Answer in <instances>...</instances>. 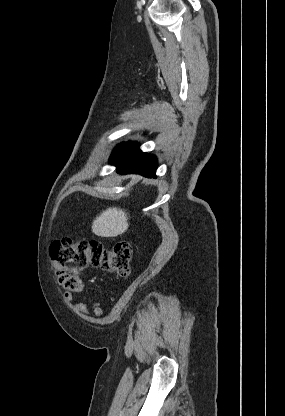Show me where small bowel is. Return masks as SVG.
I'll list each match as a JSON object with an SVG mask.
<instances>
[{"label":"small bowel","mask_w":285,"mask_h":416,"mask_svg":"<svg viewBox=\"0 0 285 416\" xmlns=\"http://www.w3.org/2000/svg\"><path fill=\"white\" fill-rule=\"evenodd\" d=\"M64 298H65L66 302H71L72 298H73V294L72 293H66ZM74 309H75L76 312L81 313L85 316L90 315L89 309H88V307L85 303L75 304ZM93 314L96 317H101L103 315L102 304L98 300L93 303Z\"/></svg>","instance_id":"1"}]
</instances>
